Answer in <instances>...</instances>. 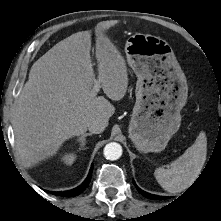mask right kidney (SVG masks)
<instances>
[{
    "label": "right kidney",
    "mask_w": 221,
    "mask_h": 221,
    "mask_svg": "<svg viewBox=\"0 0 221 221\" xmlns=\"http://www.w3.org/2000/svg\"><path fill=\"white\" fill-rule=\"evenodd\" d=\"M75 159H76V155L75 154H73V153H65L62 156L61 161H63L67 165H71V164H73Z\"/></svg>",
    "instance_id": "1"
}]
</instances>
